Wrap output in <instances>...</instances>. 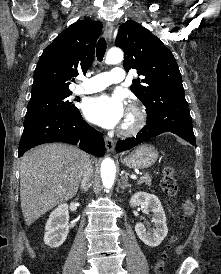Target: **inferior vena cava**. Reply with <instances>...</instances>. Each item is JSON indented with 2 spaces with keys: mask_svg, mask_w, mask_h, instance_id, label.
Listing matches in <instances>:
<instances>
[{
  "mask_svg": "<svg viewBox=\"0 0 221 274\" xmlns=\"http://www.w3.org/2000/svg\"><path fill=\"white\" fill-rule=\"evenodd\" d=\"M92 175H93V168H92L91 162L88 161L85 163L84 168H83V175H82L83 178L81 181V189L83 191L88 190V187L90 184V179H91Z\"/></svg>",
  "mask_w": 221,
  "mask_h": 274,
  "instance_id": "1",
  "label": "inferior vena cava"
}]
</instances>
